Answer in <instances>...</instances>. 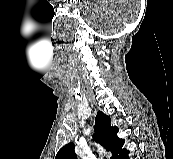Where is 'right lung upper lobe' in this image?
<instances>
[{"label":"right lung upper lobe","instance_id":"cb5924a9","mask_svg":"<svg viewBox=\"0 0 173 159\" xmlns=\"http://www.w3.org/2000/svg\"><path fill=\"white\" fill-rule=\"evenodd\" d=\"M110 117L103 112L98 111L95 118V134L93 139L100 143L107 151L112 153L110 159H122V157L129 151L121 149L125 140L116 137L118 128L110 126ZM77 156L74 151V144L68 143L62 147L57 153L55 159H76Z\"/></svg>","mask_w":173,"mask_h":159}]
</instances>
